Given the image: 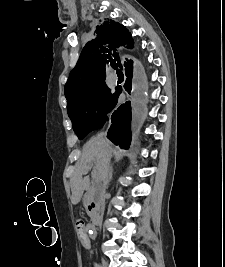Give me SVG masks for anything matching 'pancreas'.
Wrapping results in <instances>:
<instances>
[{
  "label": "pancreas",
  "instance_id": "pancreas-1",
  "mask_svg": "<svg viewBox=\"0 0 225 267\" xmlns=\"http://www.w3.org/2000/svg\"><path fill=\"white\" fill-rule=\"evenodd\" d=\"M94 192V187L92 186L90 189H89V192H88V197Z\"/></svg>",
  "mask_w": 225,
  "mask_h": 267
}]
</instances>
